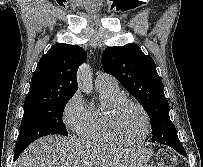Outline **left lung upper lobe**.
Wrapping results in <instances>:
<instances>
[{
  "label": "left lung upper lobe",
  "instance_id": "obj_1",
  "mask_svg": "<svg viewBox=\"0 0 203 167\" xmlns=\"http://www.w3.org/2000/svg\"><path fill=\"white\" fill-rule=\"evenodd\" d=\"M102 66L146 110L151 119L152 141L161 142L169 136L178 137L169 117V104L164 95L162 81L150 56L145 55L135 44L108 47L102 55Z\"/></svg>",
  "mask_w": 203,
  "mask_h": 167
}]
</instances>
